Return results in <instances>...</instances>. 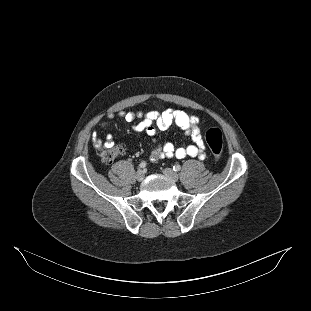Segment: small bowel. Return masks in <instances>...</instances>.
<instances>
[{"instance_id":"c3829d8e","label":"small bowel","mask_w":311,"mask_h":311,"mask_svg":"<svg viewBox=\"0 0 311 311\" xmlns=\"http://www.w3.org/2000/svg\"><path fill=\"white\" fill-rule=\"evenodd\" d=\"M119 116L128 123L140 119L138 123L133 125V129L136 132H145L154 143V148L151 152L152 161H157L162 158H203L205 155V143L201 136L199 119L196 116L189 115L182 110L170 108L151 110L145 113L121 112ZM112 119L113 115L109 114L106 119L101 122V126H107ZM172 124L177 125L185 135L189 136L192 143L184 147H175L170 142L161 143L160 138L157 136V129L164 131ZM92 142L95 147H99L103 143L102 137L98 131L92 133ZM105 144L112 145V138L107 137Z\"/></svg>"}]
</instances>
